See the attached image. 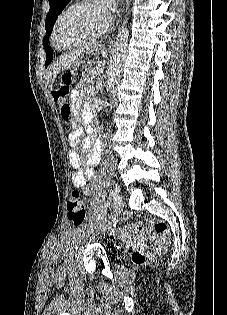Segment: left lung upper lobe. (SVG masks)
Masks as SVG:
<instances>
[{
    "instance_id": "1",
    "label": "left lung upper lobe",
    "mask_w": 227,
    "mask_h": 315,
    "mask_svg": "<svg viewBox=\"0 0 227 315\" xmlns=\"http://www.w3.org/2000/svg\"><path fill=\"white\" fill-rule=\"evenodd\" d=\"M69 2L70 0H49L50 10L46 16L45 21L46 35L44 37L43 42L44 48L46 50V65L47 62L50 60V56L53 59V52L48 45L47 39L53 30V25L55 23L56 18Z\"/></svg>"
}]
</instances>
